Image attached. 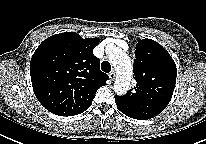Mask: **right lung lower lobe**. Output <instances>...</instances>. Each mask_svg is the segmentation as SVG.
<instances>
[{"label": "right lung lower lobe", "instance_id": "obj_1", "mask_svg": "<svg viewBox=\"0 0 206 144\" xmlns=\"http://www.w3.org/2000/svg\"><path fill=\"white\" fill-rule=\"evenodd\" d=\"M91 104H92V102L84 109V110H82V111H80L79 113H77V114H80V113H82V112H84V111H86L90 106H91ZM76 114V115H77Z\"/></svg>", "mask_w": 206, "mask_h": 144}]
</instances>
